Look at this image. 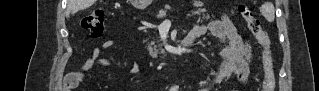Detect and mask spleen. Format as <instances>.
<instances>
[{"mask_svg": "<svg viewBox=\"0 0 319 91\" xmlns=\"http://www.w3.org/2000/svg\"><path fill=\"white\" fill-rule=\"evenodd\" d=\"M261 14L268 22H273L275 19V9L271 2L264 3L260 8Z\"/></svg>", "mask_w": 319, "mask_h": 91, "instance_id": "1", "label": "spleen"}]
</instances>
